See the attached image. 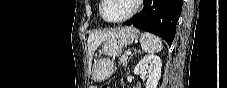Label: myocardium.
I'll return each mask as SVG.
<instances>
[{
    "label": "myocardium",
    "mask_w": 227,
    "mask_h": 88,
    "mask_svg": "<svg viewBox=\"0 0 227 88\" xmlns=\"http://www.w3.org/2000/svg\"><path fill=\"white\" fill-rule=\"evenodd\" d=\"M107 1L108 0H102L101 1V5H100V8H99V14H100L101 19L104 22L109 23V24H118V23H122V22L127 21L128 19H130L132 16H134L136 14V12L138 11L139 5L141 3V0H132L133 7H132V9L129 13H127L125 16H123L121 18L110 20V19H107L104 16V12H103V9H104Z\"/></svg>",
    "instance_id": "obj_1"
}]
</instances>
